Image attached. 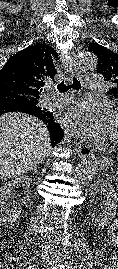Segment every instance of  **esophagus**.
<instances>
[{"label": "esophagus", "instance_id": "1", "mask_svg": "<svg viewBox=\"0 0 118 269\" xmlns=\"http://www.w3.org/2000/svg\"><path fill=\"white\" fill-rule=\"evenodd\" d=\"M61 61L63 64V68L65 70V73H67L68 75H71L73 74V70L77 73V68L75 65L63 59H61ZM76 151L80 157L89 156L93 152L89 146H82V145L77 146Z\"/></svg>", "mask_w": 118, "mask_h": 269}]
</instances>
